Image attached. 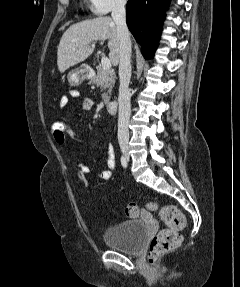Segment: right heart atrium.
<instances>
[{"mask_svg": "<svg viewBox=\"0 0 240 287\" xmlns=\"http://www.w3.org/2000/svg\"><path fill=\"white\" fill-rule=\"evenodd\" d=\"M126 0H88L89 8L97 16L106 15L114 9L125 5Z\"/></svg>", "mask_w": 240, "mask_h": 287, "instance_id": "d8ad5b80", "label": "right heart atrium"}]
</instances>
